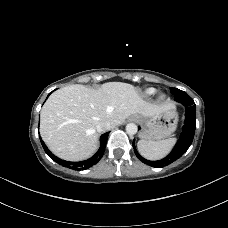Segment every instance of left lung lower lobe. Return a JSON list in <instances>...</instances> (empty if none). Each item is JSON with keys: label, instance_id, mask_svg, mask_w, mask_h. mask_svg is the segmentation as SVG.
Returning <instances> with one entry per match:
<instances>
[{"label": "left lung lower lobe", "instance_id": "obj_1", "mask_svg": "<svg viewBox=\"0 0 228 228\" xmlns=\"http://www.w3.org/2000/svg\"><path fill=\"white\" fill-rule=\"evenodd\" d=\"M175 101L180 102L185 106L186 119L180 139L168 156L158 161L146 160L137 152L135 148V140L133 141V148L137 158L149 166L162 168L173 163L188 150L193 141L196 129V106L194 105V101L189 95L184 98H175Z\"/></svg>", "mask_w": 228, "mask_h": 228}]
</instances>
